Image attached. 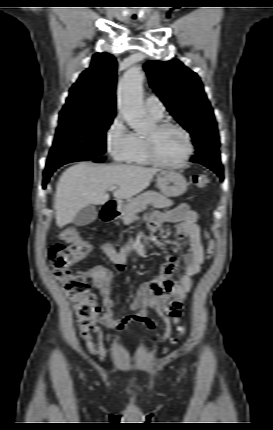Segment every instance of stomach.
I'll list each match as a JSON object with an SVG mask.
<instances>
[{"label":"stomach","mask_w":273,"mask_h":430,"mask_svg":"<svg viewBox=\"0 0 273 430\" xmlns=\"http://www.w3.org/2000/svg\"><path fill=\"white\" fill-rule=\"evenodd\" d=\"M157 186L166 197H178L187 190V182L183 175L173 170H164L157 175Z\"/></svg>","instance_id":"1"}]
</instances>
